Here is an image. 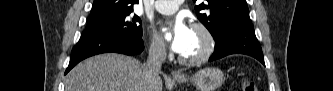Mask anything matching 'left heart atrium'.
Returning <instances> with one entry per match:
<instances>
[{
	"label": "left heart atrium",
	"instance_id": "left-heart-atrium-1",
	"mask_svg": "<svg viewBox=\"0 0 333 91\" xmlns=\"http://www.w3.org/2000/svg\"><path fill=\"white\" fill-rule=\"evenodd\" d=\"M163 32L170 36L171 49L176 53L182 54L186 49L191 33V28L184 19L180 16L177 17L173 22L163 27Z\"/></svg>",
	"mask_w": 333,
	"mask_h": 91
}]
</instances>
